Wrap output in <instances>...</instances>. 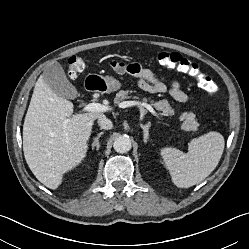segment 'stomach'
<instances>
[{"label": "stomach", "instance_id": "0dacf381", "mask_svg": "<svg viewBox=\"0 0 249 249\" xmlns=\"http://www.w3.org/2000/svg\"><path fill=\"white\" fill-rule=\"evenodd\" d=\"M99 80L100 88L102 93H111L121 88V83L112 76H90Z\"/></svg>", "mask_w": 249, "mask_h": 249}]
</instances>
